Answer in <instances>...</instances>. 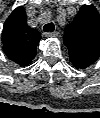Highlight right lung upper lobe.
Masks as SVG:
<instances>
[{"label":"right lung upper lobe","mask_w":100,"mask_h":118,"mask_svg":"<svg viewBox=\"0 0 100 118\" xmlns=\"http://www.w3.org/2000/svg\"><path fill=\"white\" fill-rule=\"evenodd\" d=\"M39 32L27 25L23 7L16 8L5 21L2 33L5 54L20 66L28 65L36 55Z\"/></svg>","instance_id":"obj_1"}]
</instances>
